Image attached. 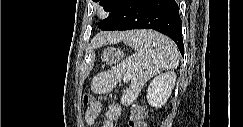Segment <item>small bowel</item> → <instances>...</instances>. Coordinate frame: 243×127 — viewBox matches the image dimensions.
<instances>
[{
    "label": "small bowel",
    "instance_id": "c3829d8e",
    "mask_svg": "<svg viewBox=\"0 0 243 127\" xmlns=\"http://www.w3.org/2000/svg\"><path fill=\"white\" fill-rule=\"evenodd\" d=\"M103 109V103L101 101H93L86 110L85 122L88 126L94 124L99 114ZM121 116V107L118 104H111L107 107L105 112L104 127H115L117 121Z\"/></svg>",
    "mask_w": 243,
    "mask_h": 127
}]
</instances>
